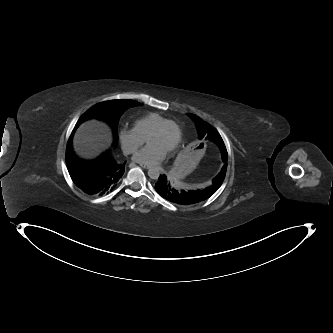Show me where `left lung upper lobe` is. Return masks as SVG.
<instances>
[{
    "label": "left lung upper lobe",
    "instance_id": "5c2ea615",
    "mask_svg": "<svg viewBox=\"0 0 333 333\" xmlns=\"http://www.w3.org/2000/svg\"><path fill=\"white\" fill-rule=\"evenodd\" d=\"M188 116L190 118H192L193 121L195 122L200 139H203V138L208 139V140L213 141V142L217 143L218 145H220L221 153H222V160H223V162H226L228 159L227 151H226L225 145H223V146L221 145L224 143H223V140H222L221 136L219 135V133L210 124H208L207 122H204L202 119H200L196 115L188 114ZM226 168H227V164H224L221 172L214 178L213 183L216 188H219L221 186V184L225 178Z\"/></svg>",
    "mask_w": 333,
    "mask_h": 333
}]
</instances>
